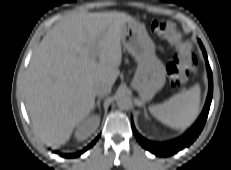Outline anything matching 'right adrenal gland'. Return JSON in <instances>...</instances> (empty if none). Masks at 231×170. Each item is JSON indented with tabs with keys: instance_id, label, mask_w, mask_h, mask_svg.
Here are the masks:
<instances>
[{
	"instance_id": "2a0ac1e0",
	"label": "right adrenal gland",
	"mask_w": 231,
	"mask_h": 170,
	"mask_svg": "<svg viewBox=\"0 0 231 170\" xmlns=\"http://www.w3.org/2000/svg\"><path fill=\"white\" fill-rule=\"evenodd\" d=\"M100 102H101V98H99V99L97 100V102H96L95 106L100 107Z\"/></svg>"
}]
</instances>
